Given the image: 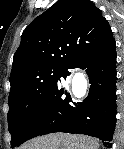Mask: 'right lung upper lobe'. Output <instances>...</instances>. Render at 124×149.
<instances>
[{
    "mask_svg": "<svg viewBox=\"0 0 124 149\" xmlns=\"http://www.w3.org/2000/svg\"><path fill=\"white\" fill-rule=\"evenodd\" d=\"M112 38L107 20L92 1L59 0L24 30L13 57L11 88L37 70L64 68Z\"/></svg>",
    "mask_w": 124,
    "mask_h": 149,
    "instance_id": "right-lung-upper-lobe-1",
    "label": "right lung upper lobe"
}]
</instances>
